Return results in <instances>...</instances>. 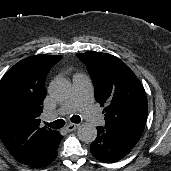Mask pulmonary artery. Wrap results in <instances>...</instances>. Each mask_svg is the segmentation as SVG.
Returning a JSON list of instances; mask_svg holds the SVG:
<instances>
[{
  "mask_svg": "<svg viewBox=\"0 0 171 171\" xmlns=\"http://www.w3.org/2000/svg\"><path fill=\"white\" fill-rule=\"evenodd\" d=\"M72 82L73 94L71 98L55 112L46 114L45 120L52 121L56 117L68 115L79 110L91 125L101 126L104 123V118L93 104L90 78L85 74H75Z\"/></svg>",
  "mask_w": 171,
  "mask_h": 171,
  "instance_id": "pulmonary-artery-1",
  "label": "pulmonary artery"
}]
</instances>
